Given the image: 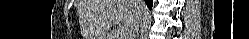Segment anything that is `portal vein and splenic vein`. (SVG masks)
Here are the masks:
<instances>
[{
	"mask_svg": "<svg viewBox=\"0 0 249 39\" xmlns=\"http://www.w3.org/2000/svg\"><path fill=\"white\" fill-rule=\"evenodd\" d=\"M124 31V29H122L121 31H120V33H122Z\"/></svg>",
	"mask_w": 249,
	"mask_h": 39,
	"instance_id": "obj_1",
	"label": "portal vein and splenic vein"
}]
</instances>
